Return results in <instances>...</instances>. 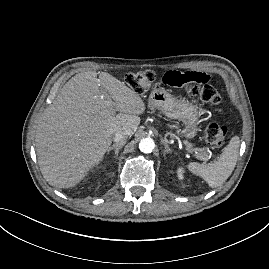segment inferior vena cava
Segmentation results:
<instances>
[{"mask_svg":"<svg viewBox=\"0 0 269 269\" xmlns=\"http://www.w3.org/2000/svg\"><path fill=\"white\" fill-rule=\"evenodd\" d=\"M129 136L127 131L119 130L115 133L113 140L117 143H126V140Z\"/></svg>","mask_w":269,"mask_h":269,"instance_id":"1","label":"inferior vena cava"}]
</instances>
